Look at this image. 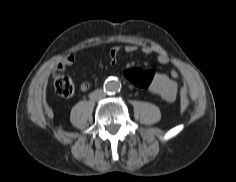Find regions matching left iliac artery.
I'll use <instances>...</instances> for the list:
<instances>
[{
    "mask_svg": "<svg viewBox=\"0 0 236 182\" xmlns=\"http://www.w3.org/2000/svg\"><path fill=\"white\" fill-rule=\"evenodd\" d=\"M112 94L114 95V94H115V92H112V93H110V95H112Z\"/></svg>",
    "mask_w": 236,
    "mask_h": 182,
    "instance_id": "obj_1",
    "label": "left iliac artery"
}]
</instances>
